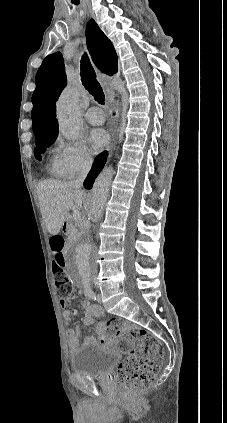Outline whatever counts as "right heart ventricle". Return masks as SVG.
I'll return each mask as SVG.
<instances>
[{"label": "right heart ventricle", "mask_w": 227, "mask_h": 423, "mask_svg": "<svg viewBox=\"0 0 227 423\" xmlns=\"http://www.w3.org/2000/svg\"><path fill=\"white\" fill-rule=\"evenodd\" d=\"M54 171H55V172H58V169H57V166H56V162H55V164H54Z\"/></svg>", "instance_id": "1"}]
</instances>
